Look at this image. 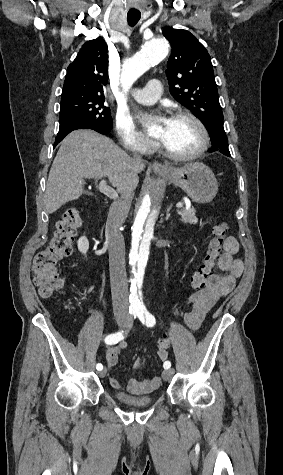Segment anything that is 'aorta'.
Instances as JSON below:
<instances>
[{
	"label": "aorta",
	"instance_id": "762f6f07",
	"mask_svg": "<svg viewBox=\"0 0 283 475\" xmlns=\"http://www.w3.org/2000/svg\"><path fill=\"white\" fill-rule=\"evenodd\" d=\"M169 53V43L165 38H154L147 42L139 52L124 62L121 73V85L127 92L133 83L154 64L162 61ZM149 127V130H153ZM167 182L157 177L144 187L139 198L132 221L131 248L129 264L132 280L130 288V305L142 308V286L147 267L151 242L155 229L161 219L166 202Z\"/></svg>",
	"mask_w": 283,
	"mask_h": 475
}]
</instances>
